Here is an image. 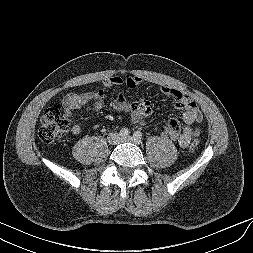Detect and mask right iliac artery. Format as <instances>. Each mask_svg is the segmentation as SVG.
I'll return each mask as SVG.
<instances>
[{"instance_id":"right-iliac-artery-1","label":"right iliac artery","mask_w":253,"mask_h":253,"mask_svg":"<svg viewBox=\"0 0 253 253\" xmlns=\"http://www.w3.org/2000/svg\"><path fill=\"white\" fill-rule=\"evenodd\" d=\"M119 133L120 136L125 137L129 135L130 131L128 130V128H122Z\"/></svg>"}]
</instances>
